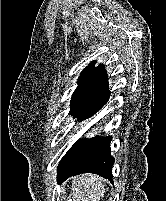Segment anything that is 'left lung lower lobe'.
Instances as JSON below:
<instances>
[{"instance_id": "obj_1", "label": "left lung lower lobe", "mask_w": 166, "mask_h": 201, "mask_svg": "<svg viewBox=\"0 0 166 201\" xmlns=\"http://www.w3.org/2000/svg\"><path fill=\"white\" fill-rule=\"evenodd\" d=\"M111 139V136L104 138L96 136L78 140L58 165V183L81 173H95L112 180L114 158L110 154Z\"/></svg>"}]
</instances>
